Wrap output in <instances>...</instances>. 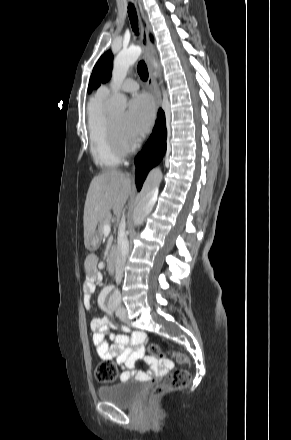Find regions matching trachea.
Listing matches in <instances>:
<instances>
[{"label":"trachea","instance_id":"trachea-1","mask_svg":"<svg viewBox=\"0 0 291 440\" xmlns=\"http://www.w3.org/2000/svg\"><path fill=\"white\" fill-rule=\"evenodd\" d=\"M128 14L131 21L132 29L136 33V35H138V18L136 9L133 4L128 5ZM137 71L143 81H146L148 79V69L144 61H140L138 63Z\"/></svg>","mask_w":291,"mask_h":440}]
</instances>
